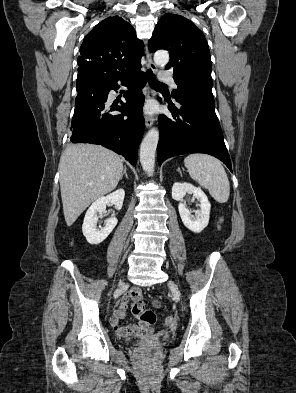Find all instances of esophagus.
<instances>
[{"label": "esophagus", "mask_w": 296, "mask_h": 393, "mask_svg": "<svg viewBox=\"0 0 296 393\" xmlns=\"http://www.w3.org/2000/svg\"><path fill=\"white\" fill-rule=\"evenodd\" d=\"M145 54H146L147 67L149 69H151L152 71L156 72L157 66L153 62L152 55H151L150 51L148 50V48H146ZM147 98L148 99L152 98V92L148 91ZM144 118H145V124H146L147 128H150L155 122V118L152 115L145 114Z\"/></svg>", "instance_id": "esophagus-1"}]
</instances>
